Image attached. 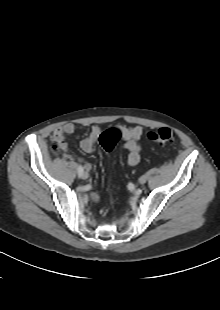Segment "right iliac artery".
I'll list each match as a JSON object with an SVG mask.
<instances>
[{
    "label": "right iliac artery",
    "mask_w": 220,
    "mask_h": 310,
    "mask_svg": "<svg viewBox=\"0 0 220 310\" xmlns=\"http://www.w3.org/2000/svg\"><path fill=\"white\" fill-rule=\"evenodd\" d=\"M77 171H78L79 177H81V175H82L84 169H83V167H82L81 165H79Z\"/></svg>",
    "instance_id": "82829eb1"
}]
</instances>
